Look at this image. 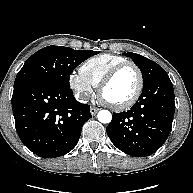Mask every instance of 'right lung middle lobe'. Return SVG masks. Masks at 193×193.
<instances>
[{"instance_id": "1", "label": "right lung middle lobe", "mask_w": 193, "mask_h": 193, "mask_svg": "<svg viewBox=\"0 0 193 193\" xmlns=\"http://www.w3.org/2000/svg\"><path fill=\"white\" fill-rule=\"evenodd\" d=\"M96 51L74 50L63 46L45 47L31 57L18 72L14 87L29 81H50L69 87L72 71Z\"/></svg>"}]
</instances>
